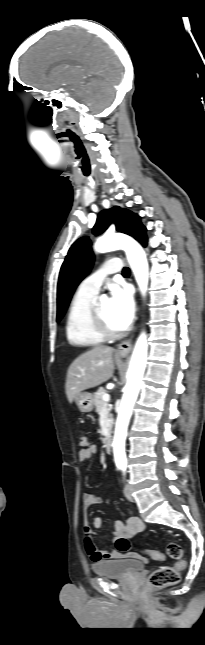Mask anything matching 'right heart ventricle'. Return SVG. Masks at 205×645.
<instances>
[{
	"mask_svg": "<svg viewBox=\"0 0 205 645\" xmlns=\"http://www.w3.org/2000/svg\"><path fill=\"white\" fill-rule=\"evenodd\" d=\"M95 294L77 291L69 305L66 318V337L74 346L94 347L104 342L103 338L93 327L91 309Z\"/></svg>",
	"mask_w": 205,
	"mask_h": 645,
	"instance_id": "right-heart-ventricle-1",
	"label": "right heart ventricle"
}]
</instances>
